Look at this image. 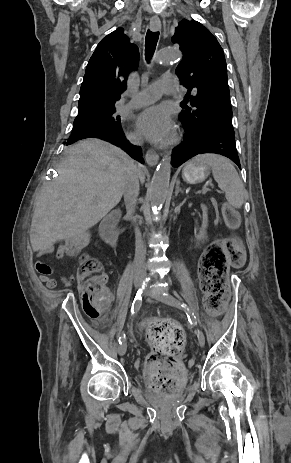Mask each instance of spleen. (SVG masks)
<instances>
[{"instance_id": "obj_1", "label": "spleen", "mask_w": 291, "mask_h": 463, "mask_svg": "<svg viewBox=\"0 0 291 463\" xmlns=\"http://www.w3.org/2000/svg\"><path fill=\"white\" fill-rule=\"evenodd\" d=\"M193 161H200L212 168L219 188L225 193L226 200L234 208L240 209L244 203L245 188L236 169L225 157L216 154L198 155Z\"/></svg>"}]
</instances>
